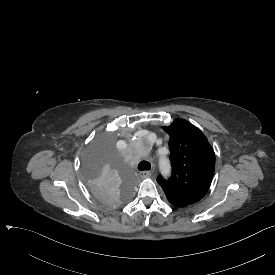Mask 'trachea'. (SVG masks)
<instances>
[{
  "label": "trachea",
  "mask_w": 275,
  "mask_h": 275,
  "mask_svg": "<svg viewBox=\"0 0 275 275\" xmlns=\"http://www.w3.org/2000/svg\"><path fill=\"white\" fill-rule=\"evenodd\" d=\"M151 169V164L148 161H141L138 164V170L140 171H148Z\"/></svg>",
  "instance_id": "3493384b"
}]
</instances>
